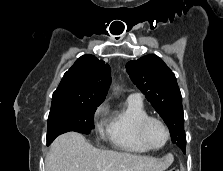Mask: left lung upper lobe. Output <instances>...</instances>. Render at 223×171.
I'll return each instance as SVG.
<instances>
[{
  "instance_id": "1",
  "label": "left lung upper lobe",
  "mask_w": 223,
  "mask_h": 171,
  "mask_svg": "<svg viewBox=\"0 0 223 171\" xmlns=\"http://www.w3.org/2000/svg\"><path fill=\"white\" fill-rule=\"evenodd\" d=\"M126 69L169 128L172 141L185 153L182 97L174 73L154 54L129 61Z\"/></svg>"
}]
</instances>
